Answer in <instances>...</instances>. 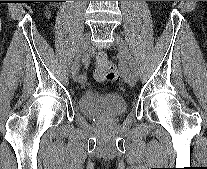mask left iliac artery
<instances>
[{
  "label": "left iliac artery",
  "instance_id": "left-iliac-artery-1",
  "mask_svg": "<svg viewBox=\"0 0 207 169\" xmlns=\"http://www.w3.org/2000/svg\"><path fill=\"white\" fill-rule=\"evenodd\" d=\"M120 72H126V70H130L129 72H133L135 75H138L137 68L135 64L126 65V63H119ZM132 70V71H131Z\"/></svg>",
  "mask_w": 207,
  "mask_h": 169
}]
</instances>
